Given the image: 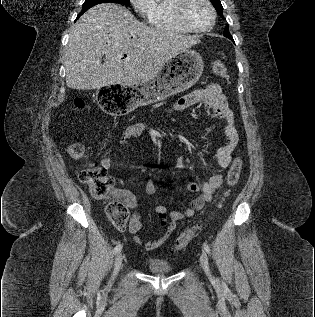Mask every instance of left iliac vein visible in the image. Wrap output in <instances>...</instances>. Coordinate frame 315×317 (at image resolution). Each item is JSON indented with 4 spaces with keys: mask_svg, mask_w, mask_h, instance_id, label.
Listing matches in <instances>:
<instances>
[{
    "mask_svg": "<svg viewBox=\"0 0 315 317\" xmlns=\"http://www.w3.org/2000/svg\"><path fill=\"white\" fill-rule=\"evenodd\" d=\"M200 263H201V266H202L204 272L206 273V275L208 277L212 278L211 270H210V267H209L208 257H207V254H206L205 251L201 252Z\"/></svg>",
    "mask_w": 315,
    "mask_h": 317,
    "instance_id": "left-iliac-vein-1",
    "label": "left iliac vein"
}]
</instances>
